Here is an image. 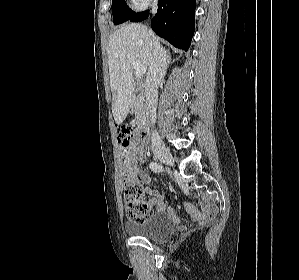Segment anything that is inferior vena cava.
I'll use <instances>...</instances> for the list:
<instances>
[{"label":"inferior vena cava","mask_w":299,"mask_h":280,"mask_svg":"<svg viewBox=\"0 0 299 280\" xmlns=\"http://www.w3.org/2000/svg\"><path fill=\"white\" fill-rule=\"evenodd\" d=\"M156 11L157 7L156 4H154L151 13L154 15ZM166 59V51L160 48L159 44L155 40H153L152 59L145 81L146 104L149 109L151 123H155L156 121V109L158 102L157 89L159 84L163 82L166 73ZM151 141L152 145H157L160 143V137L157 131H153Z\"/></svg>","instance_id":"602c4592"}]
</instances>
